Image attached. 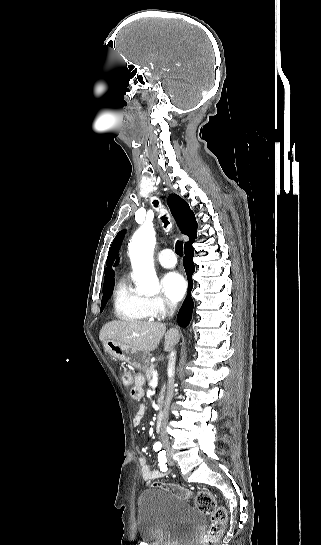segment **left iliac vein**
I'll list each match as a JSON object with an SVG mask.
<instances>
[{
    "label": "left iliac vein",
    "instance_id": "obj_1",
    "mask_svg": "<svg viewBox=\"0 0 321 545\" xmlns=\"http://www.w3.org/2000/svg\"><path fill=\"white\" fill-rule=\"evenodd\" d=\"M166 459H167V461H168V463H169L170 465H173V464H174V461H173V459H172L170 453L167 454V458H166Z\"/></svg>",
    "mask_w": 321,
    "mask_h": 545
}]
</instances>
